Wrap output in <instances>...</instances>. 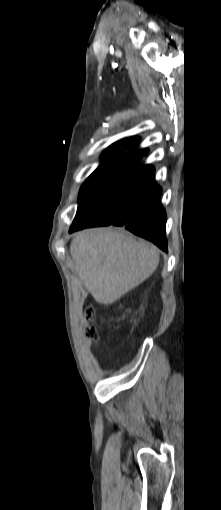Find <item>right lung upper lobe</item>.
Masks as SVG:
<instances>
[{"label":"right lung upper lobe","mask_w":221,"mask_h":510,"mask_svg":"<svg viewBox=\"0 0 221 510\" xmlns=\"http://www.w3.org/2000/svg\"><path fill=\"white\" fill-rule=\"evenodd\" d=\"M139 142V138L138 137H131V138H127V139H123L121 141H118L114 144H112L104 153L102 156H107V155H114V154H120V153H124V151L127 149V150H130L132 149V152H135L134 151V148L136 147V145L138 144ZM136 152H148V150H145V151H136Z\"/></svg>","instance_id":"right-lung-upper-lobe-1"}]
</instances>
